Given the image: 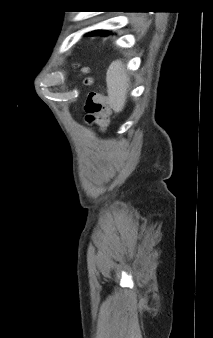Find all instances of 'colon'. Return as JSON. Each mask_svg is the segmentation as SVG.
<instances>
[{
	"label": "colon",
	"mask_w": 213,
	"mask_h": 338,
	"mask_svg": "<svg viewBox=\"0 0 213 338\" xmlns=\"http://www.w3.org/2000/svg\"><path fill=\"white\" fill-rule=\"evenodd\" d=\"M90 84V80L86 81ZM86 122L90 125L104 127L107 124L108 108L96 92H90L85 104Z\"/></svg>",
	"instance_id": "1"
}]
</instances>
